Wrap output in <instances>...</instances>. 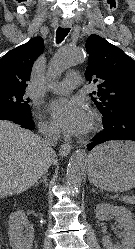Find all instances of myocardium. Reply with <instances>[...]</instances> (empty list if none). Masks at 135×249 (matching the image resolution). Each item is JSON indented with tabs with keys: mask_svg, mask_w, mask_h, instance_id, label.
<instances>
[{
	"mask_svg": "<svg viewBox=\"0 0 135 249\" xmlns=\"http://www.w3.org/2000/svg\"><path fill=\"white\" fill-rule=\"evenodd\" d=\"M99 127L98 117L95 113L91 114L90 121L84 132L85 135H90L94 133Z\"/></svg>",
	"mask_w": 135,
	"mask_h": 249,
	"instance_id": "obj_1",
	"label": "myocardium"
}]
</instances>
